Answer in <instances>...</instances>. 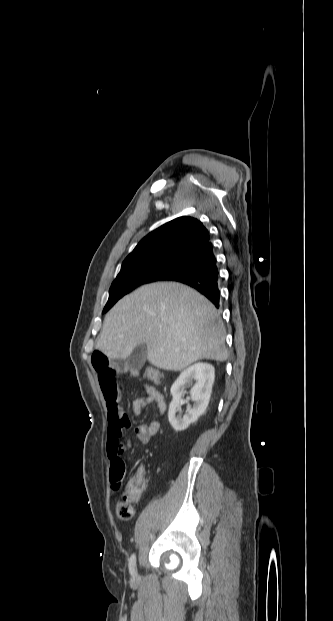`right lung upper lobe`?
I'll list each match as a JSON object with an SVG mask.
<instances>
[{
	"mask_svg": "<svg viewBox=\"0 0 333 621\" xmlns=\"http://www.w3.org/2000/svg\"><path fill=\"white\" fill-rule=\"evenodd\" d=\"M211 238L199 220L184 216L176 218L145 236L123 263L156 258H187Z\"/></svg>",
	"mask_w": 333,
	"mask_h": 621,
	"instance_id": "1",
	"label": "right lung upper lobe"
}]
</instances>
